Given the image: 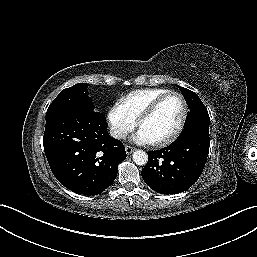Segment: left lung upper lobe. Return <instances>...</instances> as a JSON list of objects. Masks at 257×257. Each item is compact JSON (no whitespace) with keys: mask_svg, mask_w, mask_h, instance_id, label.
Returning a JSON list of instances; mask_svg holds the SVG:
<instances>
[{"mask_svg":"<svg viewBox=\"0 0 257 257\" xmlns=\"http://www.w3.org/2000/svg\"><path fill=\"white\" fill-rule=\"evenodd\" d=\"M179 89L182 91L188 108L190 109L184 130L180 137H184L192 133H203L209 135L210 118L199 96L187 88L179 86Z\"/></svg>","mask_w":257,"mask_h":257,"instance_id":"obj_1","label":"left lung upper lobe"}]
</instances>
